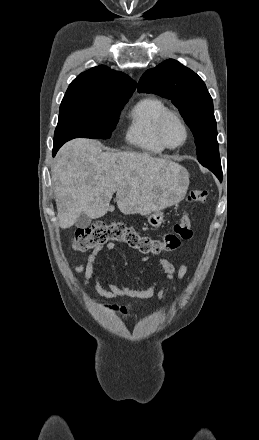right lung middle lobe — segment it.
I'll return each mask as SVG.
<instances>
[{
  "label": "right lung middle lobe",
  "instance_id": "1",
  "mask_svg": "<svg viewBox=\"0 0 259 440\" xmlns=\"http://www.w3.org/2000/svg\"><path fill=\"white\" fill-rule=\"evenodd\" d=\"M129 98L110 104L62 100L54 143L64 144L77 137L109 139L118 116Z\"/></svg>",
  "mask_w": 259,
  "mask_h": 440
}]
</instances>
